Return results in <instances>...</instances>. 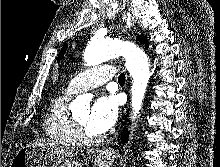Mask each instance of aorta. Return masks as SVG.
<instances>
[{"label": "aorta", "mask_w": 220, "mask_h": 167, "mask_svg": "<svg viewBox=\"0 0 220 167\" xmlns=\"http://www.w3.org/2000/svg\"><path fill=\"white\" fill-rule=\"evenodd\" d=\"M119 56L125 58V66L133 79L131 107L132 118L136 119L150 78L148 57L145 52L128 41L107 40L94 36L87 45L83 58L86 66H94ZM84 104H89L88 97L78 96L71 103V108L76 109Z\"/></svg>", "instance_id": "762f6f07"}]
</instances>
